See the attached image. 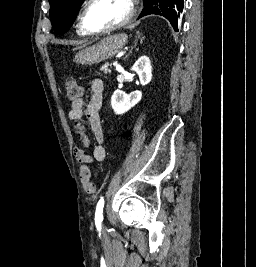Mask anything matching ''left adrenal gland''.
<instances>
[{"instance_id":"1","label":"left adrenal gland","mask_w":256,"mask_h":267,"mask_svg":"<svg viewBox=\"0 0 256 267\" xmlns=\"http://www.w3.org/2000/svg\"><path fill=\"white\" fill-rule=\"evenodd\" d=\"M138 40H141V36H140L139 32H136V40H135L134 46H132L129 54H132V50H133V48H135L136 44H138Z\"/></svg>"}]
</instances>
